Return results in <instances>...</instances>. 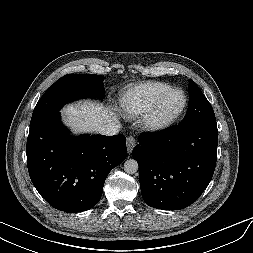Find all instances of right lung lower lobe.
<instances>
[{"mask_svg":"<svg viewBox=\"0 0 253 253\" xmlns=\"http://www.w3.org/2000/svg\"><path fill=\"white\" fill-rule=\"evenodd\" d=\"M26 155L39 194L58 210L82 212L98 203L107 175L125 160L126 138L71 136L57 111L30 124Z\"/></svg>","mask_w":253,"mask_h":253,"instance_id":"right-lung-lower-lobe-1","label":"right lung lower lobe"}]
</instances>
